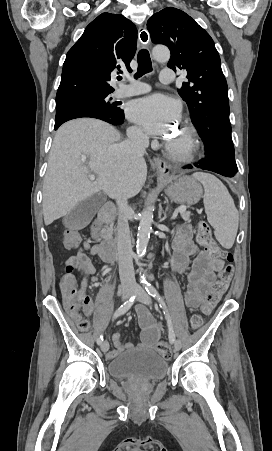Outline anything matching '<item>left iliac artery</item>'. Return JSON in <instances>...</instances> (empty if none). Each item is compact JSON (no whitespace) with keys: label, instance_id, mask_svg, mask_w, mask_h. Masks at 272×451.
<instances>
[{"label":"left iliac artery","instance_id":"44dca946","mask_svg":"<svg viewBox=\"0 0 272 451\" xmlns=\"http://www.w3.org/2000/svg\"><path fill=\"white\" fill-rule=\"evenodd\" d=\"M145 289H146V291L148 292L149 295H151L153 298H155L159 302L160 307L163 309L164 315H165L166 320H167L168 329H169V342L171 344L174 343L175 340H176V337H175V333H174L171 317H170V315L168 313V310L166 308V304H165L164 300L160 296V294L157 291V289L153 285H151L149 282H147V281H145Z\"/></svg>","mask_w":272,"mask_h":451}]
</instances>
